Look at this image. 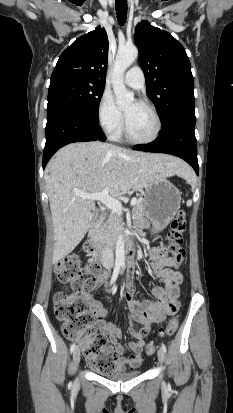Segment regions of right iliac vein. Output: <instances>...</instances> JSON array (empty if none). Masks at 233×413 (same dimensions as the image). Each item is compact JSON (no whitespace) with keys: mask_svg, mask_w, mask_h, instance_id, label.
I'll return each instance as SVG.
<instances>
[{"mask_svg":"<svg viewBox=\"0 0 233 413\" xmlns=\"http://www.w3.org/2000/svg\"><path fill=\"white\" fill-rule=\"evenodd\" d=\"M73 360H74V364L76 367H78L79 362H80V349L76 348L74 353H73Z\"/></svg>","mask_w":233,"mask_h":413,"instance_id":"right-iliac-vein-1","label":"right iliac vein"}]
</instances>
